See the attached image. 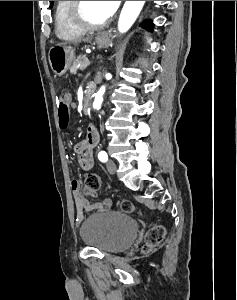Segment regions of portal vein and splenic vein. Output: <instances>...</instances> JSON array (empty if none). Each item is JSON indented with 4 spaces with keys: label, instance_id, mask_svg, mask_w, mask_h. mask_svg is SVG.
<instances>
[{
    "label": "portal vein and splenic vein",
    "instance_id": "1",
    "mask_svg": "<svg viewBox=\"0 0 237 300\" xmlns=\"http://www.w3.org/2000/svg\"><path fill=\"white\" fill-rule=\"evenodd\" d=\"M89 62H90V61H89ZM89 62H88L87 60L83 62L84 69L87 70V69L89 68V66H90V65H89ZM91 62H92V61H91ZM82 68H83V67H82ZM84 69H83V70H84ZM82 72H83V71H82Z\"/></svg>",
    "mask_w": 237,
    "mask_h": 300
}]
</instances>
